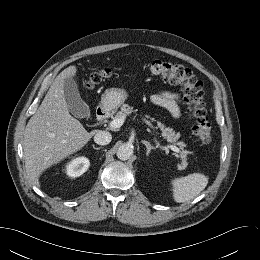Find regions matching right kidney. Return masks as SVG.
<instances>
[{
  "label": "right kidney",
  "mask_w": 260,
  "mask_h": 260,
  "mask_svg": "<svg viewBox=\"0 0 260 260\" xmlns=\"http://www.w3.org/2000/svg\"><path fill=\"white\" fill-rule=\"evenodd\" d=\"M90 162L86 157H77L66 165V174L69 177H79L89 168Z\"/></svg>",
  "instance_id": "obj_1"
}]
</instances>
